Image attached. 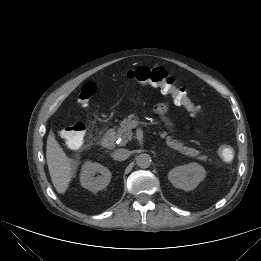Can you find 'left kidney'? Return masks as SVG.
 Wrapping results in <instances>:
<instances>
[{"label": "left kidney", "instance_id": "obj_1", "mask_svg": "<svg viewBox=\"0 0 261 261\" xmlns=\"http://www.w3.org/2000/svg\"><path fill=\"white\" fill-rule=\"evenodd\" d=\"M205 176L204 168L198 163L178 166L168 173V179L172 185L185 191L193 190Z\"/></svg>", "mask_w": 261, "mask_h": 261}]
</instances>
